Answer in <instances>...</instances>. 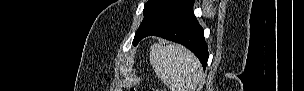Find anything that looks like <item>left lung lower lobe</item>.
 I'll list each match as a JSON object with an SVG mask.
<instances>
[{"label":"left lung lower lobe","instance_id":"1","mask_svg":"<svg viewBox=\"0 0 304 91\" xmlns=\"http://www.w3.org/2000/svg\"><path fill=\"white\" fill-rule=\"evenodd\" d=\"M193 4L194 0H170L140 40L146 36L156 35L182 44L198 57L205 69L209 54L203 28L194 16Z\"/></svg>","mask_w":304,"mask_h":91}]
</instances>
